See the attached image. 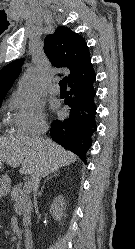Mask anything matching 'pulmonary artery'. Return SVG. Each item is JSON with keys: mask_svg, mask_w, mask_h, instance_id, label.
I'll return each instance as SVG.
<instances>
[{"mask_svg": "<svg viewBox=\"0 0 135 249\" xmlns=\"http://www.w3.org/2000/svg\"><path fill=\"white\" fill-rule=\"evenodd\" d=\"M48 91L51 95H57L60 91L58 84L53 83L52 85H50Z\"/></svg>", "mask_w": 135, "mask_h": 249, "instance_id": "obj_1", "label": "pulmonary artery"}]
</instances>
